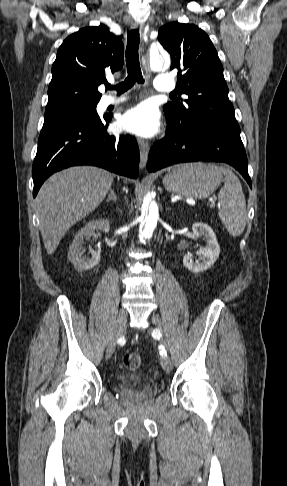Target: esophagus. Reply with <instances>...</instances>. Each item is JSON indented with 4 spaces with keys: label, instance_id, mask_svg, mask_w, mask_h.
I'll return each mask as SVG.
<instances>
[{
    "label": "esophagus",
    "instance_id": "34e87169",
    "mask_svg": "<svg viewBox=\"0 0 287 486\" xmlns=\"http://www.w3.org/2000/svg\"><path fill=\"white\" fill-rule=\"evenodd\" d=\"M132 28L137 29L140 32L143 30V23L140 22H133L132 23ZM139 149H140V165L141 167H145L147 164L148 160V154H149V143L143 139L138 138L137 139Z\"/></svg>",
    "mask_w": 287,
    "mask_h": 486
}]
</instances>
